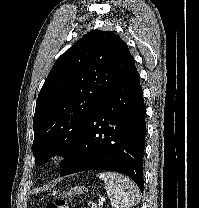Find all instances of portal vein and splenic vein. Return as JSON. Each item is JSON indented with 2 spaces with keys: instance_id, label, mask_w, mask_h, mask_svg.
I'll use <instances>...</instances> for the list:
<instances>
[{
  "instance_id": "18ae733b",
  "label": "portal vein and splenic vein",
  "mask_w": 199,
  "mask_h": 208,
  "mask_svg": "<svg viewBox=\"0 0 199 208\" xmlns=\"http://www.w3.org/2000/svg\"><path fill=\"white\" fill-rule=\"evenodd\" d=\"M104 201H105V199H100V200H99V205H100V206H103Z\"/></svg>"
}]
</instances>
